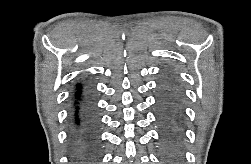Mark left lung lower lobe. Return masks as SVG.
<instances>
[{"instance_id": "obj_1", "label": "left lung lower lobe", "mask_w": 251, "mask_h": 164, "mask_svg": "<svg viewBox=\"0 0 251 164\" xmlns=\"http://www.w3.org/2000/svg\"><path fill=\"white\" fill-rule=\"evenodd\" d=\"M180 92L171 72H165L159 83V121L164 133L166 154L170 159L179 155L177 145L178 123L181 112Z\"/></svg>"}]
</instances>
